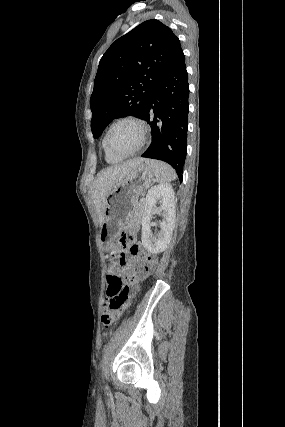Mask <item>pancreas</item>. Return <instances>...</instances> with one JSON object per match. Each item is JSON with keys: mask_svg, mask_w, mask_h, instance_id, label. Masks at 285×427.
Returning <instances> with one entry per match:
<instances>
[{"mask_svg": "<svg viewBox=\"0 0 285 427\" xmlns=\"http://www.w3.org/2000/svg\"><path fill=\"white\" fill-rule=\"evenodd\" d=\"M142 213V204L138 203L136 204V208H135V213H134V217L135 218L137 215H140Z\"/></svg>", "mask_w": 285, "mask_h": 427, "instance_id": "obj_1", "label": "pancreas"}]
</instances>
